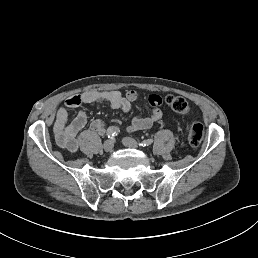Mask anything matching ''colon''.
I'll return each mask as SVG.
<instances>
[{"label": "colon", "mask_w": 258, "mask_h": 258, "mask_svg": "<svg viewBox=\"0 0 258 258\" xmlns=\"http://www.w3.org/2000/svg\"><path fill=\"white\" fill-rule=\"evenodd\" d=\"M166 103L177 113L185 114L189 110L188 103L185 99L174 96L168 95L165 98ZM204 138V127L201 124H191L187 128V140L190 145L198 146L201 144Z\"/></svg>", "instance_id": "obj_1"}]
</instances>
